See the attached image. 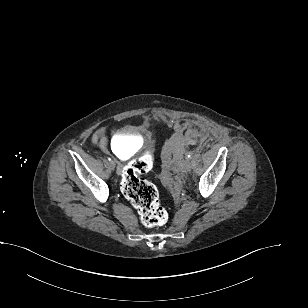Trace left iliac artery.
<instances>
[{"instance_id":"1","label":"left iliac artery","mask_w":308,"mask_h":308,"mask_svg":"<svg viewBox=\"0 0 308 308\" xmlns=\"http://www.w3.org/2000/svg\"><path fill=\"white\" fill-rule=\"evenodd\" d=\"M192 154H193L192 152H187V154H186L187 158H191Z\"/></svg>"}]
</instances>
